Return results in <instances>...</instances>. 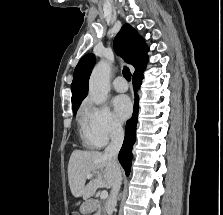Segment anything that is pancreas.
<instances>
[{
  "instance_id": "cf45deb5",
  "label": "pancreas",
  "mask_w": 223,
  "mask_h": 215,
  "mask_svg": "<svg viewBox=\"0 0 223 215\" xmlns=\"http://www.w3.org/2000/svg\"><path fill=\"white\" fill-rule=\"evenodd\" d=\"M98 206V211H96V213H94V215H99V211H100V209H102V207H101V205H100V203H96Z\"/></svg>"
}]
</instances>
